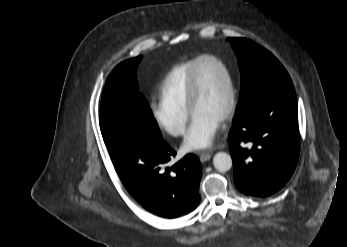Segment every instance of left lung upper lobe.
<instances>
[{
	"instance_id": "obj_1",
	"label": "left lung upper lobe",
	"mask_w": 347,
	"mask_h": 247,
	"mask_svg": "<svg viewBox=\"0 0 347 247\" xmlns=\"http://www.w3.org/2000/svg\"><path fill=\"white\" fill-rule=\"evenodd\" d=\"M238 58L241 90L236 116L244 114L265 93L293 87L282 64L266 49L245 38H228Z\"/></svg>"
}]
</instances>
